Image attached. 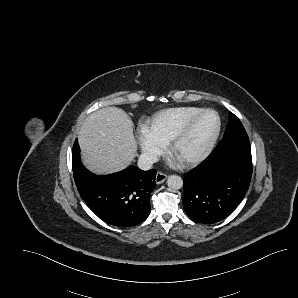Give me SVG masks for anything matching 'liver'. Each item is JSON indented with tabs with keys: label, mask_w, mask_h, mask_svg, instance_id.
<instances>
[{
	"label": "liver",
	"mask_w": 298,
	"mask_h": 298,
	"mask_svg": "<svg viewBox=\"0 0 298 298\" xmlns=\"http://www.w3.org/2000/svg\"><path fill=\"white\" fill-rule=\"evenodd\" d=\"M132 124L118 107H103L90 113L77 136L82 165L99 176L127 169L138 151Z\"/></svg>",
	"instance_id": "liver-1"
}]
</instances>
